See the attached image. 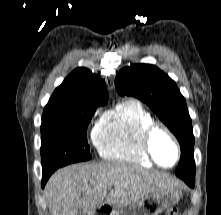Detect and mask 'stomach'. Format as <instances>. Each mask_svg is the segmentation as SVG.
I'll use <instances>...</instances> for the list:
<instances>
[{
	"mask_svg": "<svg viewBox=\"0 0 221 215\" xmlns=\"http://www.w3.org/2000/svg\"><path fill=\"white\" fill-rule=\"evenodd\" d=\"M181 198L179 189L154 191L138 202L119 207L115 215H159L177 204Z\"/></svg>",
	"mask_w": 221,
	"mask_h": 215,
	"instance_id": "0dacf381",
	"label": "stomach"
}]
</instances>
